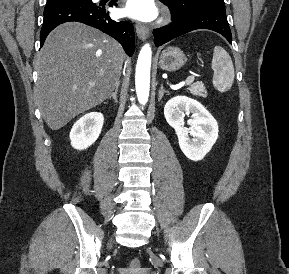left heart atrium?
Returning a JSON list of instances; mask_svg holds the SVG:
<instances>
[{"instance_id":"left-heart-atrium-1","label":"left heart atrium","mask_w":289,"mask_h":274,"mask_svg":"<svg viewBox=\"0 0 289 274\" xmlns=\"http://www.w3.org/2000/svg\"><path fill=\"white\" fill-rule=\"evenodd\" d=\"M123 12L132 18L149 21L156 16L157 10L153 0H127Z\"/></svg>"}]
</instances>
